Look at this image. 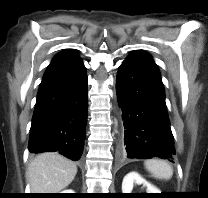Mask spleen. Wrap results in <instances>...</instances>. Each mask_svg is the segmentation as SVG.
Here are the masks:
<instances>
[{"instance_id":"spleen-1","label":"spleen","mask_w":208,"mask_h":198,"mask_svg":"<svg viewBox=\"0 0 208 198\" xmlns=\"http://www.w3.org/2000/svg\"><path fill=\"white\" fill-rule=\"evenodd\" d=\"M144 165L156 179L169 180L173 175V169L166 161L150 159L145 161Z\"/></svg>"}]
</instances>
